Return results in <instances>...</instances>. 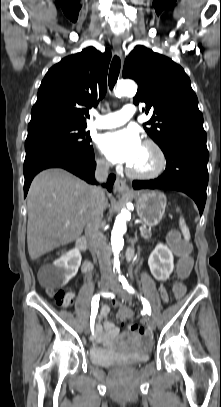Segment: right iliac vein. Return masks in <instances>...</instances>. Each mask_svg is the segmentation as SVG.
<instances>
[{
	"mask_svg": "<svg viewBox=\"0 0 221 407\" xmlns=\"http://www.w3.org/2000/svg\"><path fill=\"white\" fill-rule=\"evenodd\" d=\"M111 288V285L108 282H101L100 284V291L101 293H105ZM90 328H89V323H86L84 326V333L87 335L89 334Z\"/></svg>",
	"mask_w": 221,
	"mask_h": 407,
	"instance_id": "63e3f726",
	"label": "right iliac vein"
}]
</instances>
